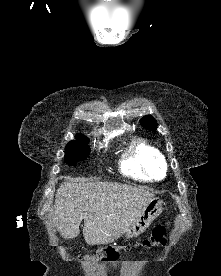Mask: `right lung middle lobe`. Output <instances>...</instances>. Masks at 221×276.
Returning <instances> with one entry per match:
<instances>
[{"mask_svg":"<svg viewBox=\"0 0 221 276\" xmlns=\"http://www.w3.org/2000/svg\"><path fill=\"white\" fill-rule=\"evenodd\" d=\"M88 142L68 143L65 148V162L75 165L78 161L84 160L90 153Z\"/></svg>","mask_w":221,"mask_h":276,"instance_id":"1","label":"right lung middle lobe"}]
</instances>
